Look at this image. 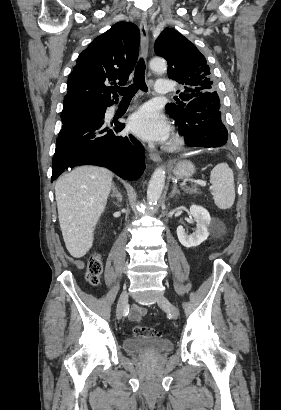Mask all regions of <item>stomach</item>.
Instances as JSON below:
<instances>
[{"mask_svg":"<svg viewBox=\"0 0 281 410\" xmlns=\"http://www.w3.org/2000/svg\"><path fill=\"white\" fill-rule=\"evenodd\" d=\"M194 172V164L187 160L178 162L173 169V174L178 179L190 178L194 174Z\"/></svg>","mask_w":281,"mask_h":410,"instance_id":"stomach-1","label":"stomach"}]
</instances>
